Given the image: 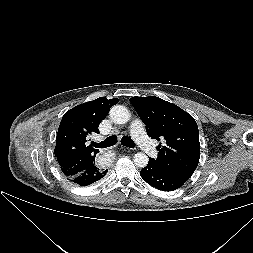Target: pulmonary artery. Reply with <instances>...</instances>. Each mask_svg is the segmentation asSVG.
I'll return each mask as SVG.
<instances>
[{"instance_id":"pulmonary-artery-1","label":"pulmonary artery","mask_w":253,"mask_h":253,"mask_svg":"<svg viewBox=\"0 0 253 253\" xmlns=\"http://www.w3.org/2000/svg\"><path fill=\"white\" fill-rule=\"evenodd\" d=\"M130 133L136 143L142 148V150L146 154L152 157L157 155V150L151 140L147 137L144 131L143 124L140 120L135 119L132 121L130 125Z\"/></svg>"}]
</instances>
